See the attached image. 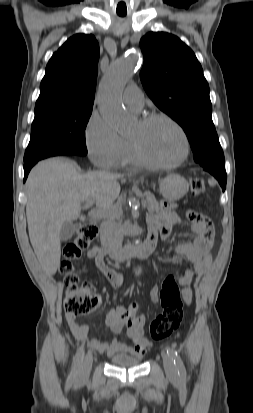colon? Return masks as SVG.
I'll use <instances>...</instances> for the list:
<instances>
[{"instance_id":"5ec220e1","label":"colon","mask_w":253,"mask_h":413,"mask_svg":"<svg viewBox=\"0 0 253 413\" xmlns=\"http://www.w3.org/2000/svg\"><path fill=\"white\" fill-rule=\"evenodd\" d=\"M205 192V183L201 178L191 181V193L199 196ZM97 228L93 224H82L75 238L67 243L63 249V259L59 271L64 277L66 286L64 308L66 314L84 316L92 313L100 303V297L93 292L88 283L80 281L76 274L75 261L82 251L89 247L97 236ZM160 302L163 308L150 325L152 340H160L170 336L180 325L183 318V302L180 290L174 276H167L161 287Z\"/></svg>"}]
</instances>
